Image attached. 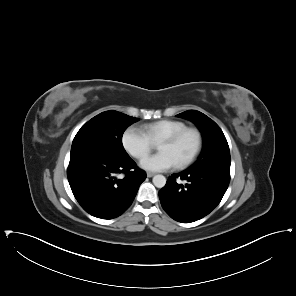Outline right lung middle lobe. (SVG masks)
<instances>
[{
  "mask_svg": "<svg viewBox=\"0 0 296 296\" xmlns=\"http://www.w3.org/2000/svg\"><path fill=\"white\" fill-rule=\"evenodd\" d=\"M138 120L113 110L98 114L76 134L71 155L96 153L117 160L128 158L122 145V135L127 127Z\"/></svg>",
  "mask_w": 296,
  "mask_h": 296,
  "instance_id": "1",
  "label": "right lung middle lobe"
}]
</instances>
